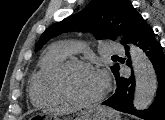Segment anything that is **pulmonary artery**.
Wrapping results in <instances>:
<instances>
[{
  "label": "pulmonary artery",
  "mask_w": 165,
  "mask_h": 120,
  "mask_svg": "<svg viewBox=\"0 0 165 120\" xmlns=\"http://www.w3.org/2000/svg\"><path fill=\"white\" fill-rule=\"evenodd\" d=\"M78 48L79 47L77 45L71 43H64L57 47V49H59L66 55L73 51H76ZM101 51L105 55L122 54L124 52V47L118 43L107 42L102 45Z\"/></svg>",
  "instance_id": "obj_1"
}]
</instances>
